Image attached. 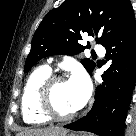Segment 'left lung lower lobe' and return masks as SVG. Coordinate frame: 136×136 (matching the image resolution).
I'll return each instance as SVG.
<instances>
[{
    "label": "left lung lower lobe",
    "mask_w": 136,
    "mask_h": 136,
    "mask_svg": "<svg viewBox=\"0 0 136 136\" xmlns=\"http://www.w3.org/2000/svg\"><path fill=\"white\" fill-rule=\"evenodd\" d=\"M103 46L106 60L112 63L102 75L104 82L96 89L94 105L86 116L64 127L99 136H123L136 81V20L132 8Z\"/></svg>",
    "instance_id": "obj_1"
}]
</instances>
